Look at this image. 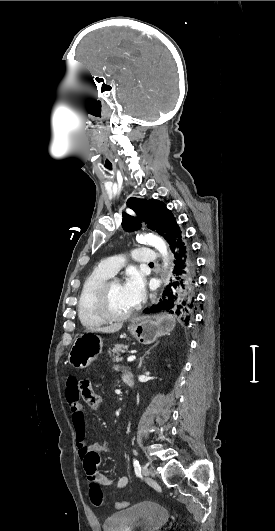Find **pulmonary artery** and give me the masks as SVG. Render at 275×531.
I'll return each instance as SVG.
<instances>
[{
	"label": "pulmonary artery",
	"instance_id": "obj_1",
	"mask_svg": "<svg viewBox=\"0 0 275 531\" xmlns=\"http://www.w3.org/2000/svg\"><path fill=\"white\" fill-rule=\"evenodd\" d=\"M131 256L136 260L138 265H150L153 263L154 259L157 258L158 253L153 249H138L132 251ZM123 262V256L114 254L110 256L109 261H99L97 264V269L99 272H107L111 275L117 276L121 272L120 267L121 263Z\"/></svg>",
	"mask_w": 275,
	"mask_h": 531
}]
</instances>
